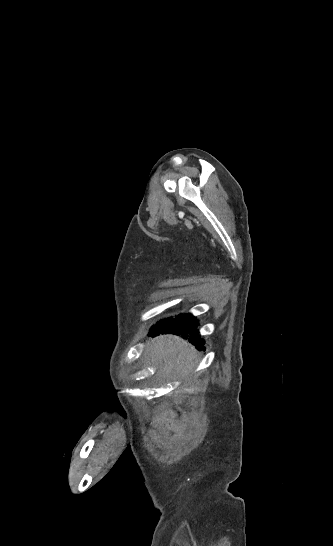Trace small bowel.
<instances>
[{"label": "small bowel", "mask_w": 333, "mask_h": 546, "mask_svg": "<svg viewBox=\"0 0 333 546\" xmlns=\"http://www.w3.org/2000/svg\"><path fill=\"white\" fill-rule=\"evenodd\" d=\"M170 428H173V429H176L179 433H182L183 432V428L181 427H176L175 425H170Z\"/></svg>", "instance_id": "obj_1"}]
</instances>
